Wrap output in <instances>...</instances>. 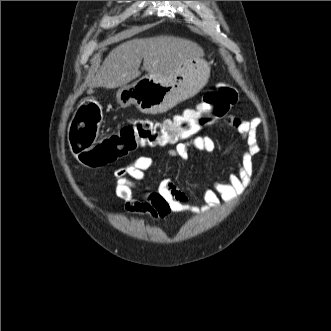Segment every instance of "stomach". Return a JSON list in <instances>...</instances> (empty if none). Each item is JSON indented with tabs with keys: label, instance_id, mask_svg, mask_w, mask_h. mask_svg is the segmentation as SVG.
Segmentation results:
<instances>
[{
	"label": "stomach",
	"instance_id": "stomach-1",
	"mask_svg": "<svg viewBox=\"0 0 331 331\" xmlns=\"http://www.w3.org/2000/svg\"><path fill=\"white\" fill-rule=\"evenodd\" d=\"M209 76L208 62L195 57L168 76L148 74L121 87L116 97L122 107L134 105L144 114H161L195 96L205 86Z\"/></svg>",
	"mask_w": 331,
	"mask_h": 331
}]
</instances>
